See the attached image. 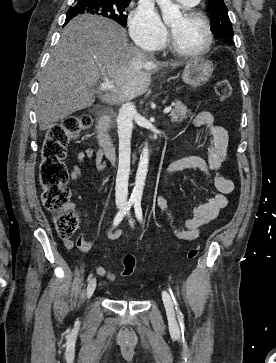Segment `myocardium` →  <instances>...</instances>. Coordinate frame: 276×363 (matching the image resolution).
<instances>
[{"label": "myocardium", "mask_w": 276, "mask_h": 363, "mask_svg": "<svg viewBox=\"0 0 276 363\" xmlns=\"http://www.w3.org/2000/svg\"><path fill=\"white\" fill-rule=\"evenodd\" d=\"M184 16L189 18V19H195L198 21H201L206 29V33H207V41L206 44L204 45L203 48H201L200 50L197 51H190V50H186L184 48H182L175 40L173 34L171 33L170 36V46L171 49L183 56V57H189V58H200L204 55H206L212 48L213 42H214V35H213V31H212V27L210 24L209 19L202 14L201 12L194 10V9H190L185 11Z\"/></svg>", "instance_id": "myocardium-1"}]
</instances>
